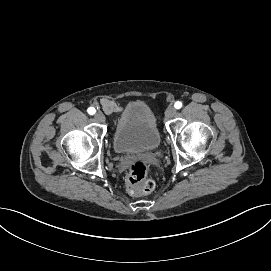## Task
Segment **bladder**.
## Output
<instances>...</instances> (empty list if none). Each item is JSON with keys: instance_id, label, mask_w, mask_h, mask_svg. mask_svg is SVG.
Segmentation results:
<instances>
[{"instance_id": "obj_1", "label": "bladder", "mask_w": 271, "mask_h": 271, "mask_svg": "<svg viewBox=\"0 0 271 271\" xmlns=\"http://www.w3.org/2000/svg\"><path fill=\"white\" fill-rule=\"evenodd\" d=\"M160 141L161 136L151 109L142 102L128 104L113 134L115 152H153L160 146Z\"/></svg>"}]
</instances>
